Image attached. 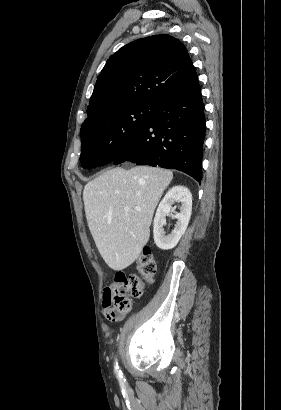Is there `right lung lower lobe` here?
Listing matches in <instances>:
<instances>
[{
  "label": "right lung lower lobe",
  "mask_w": 281,
  "mask_h": 410,
  "mask_svg": "<svg viewBox=\"0 0 281 410\" xmlns=\"http://www.w3.org/2000/svg\"><path fill=\"white\" fill-rule=\"evenodd\" d=\"M206 119L201 89L167 98L154 107L150 122L113 161L174 168L202 179Z\"/></svg>",
  "instance_id": "1"
}]
</instances>
